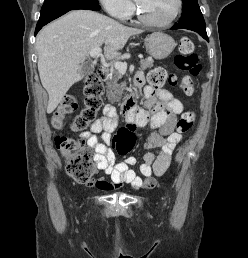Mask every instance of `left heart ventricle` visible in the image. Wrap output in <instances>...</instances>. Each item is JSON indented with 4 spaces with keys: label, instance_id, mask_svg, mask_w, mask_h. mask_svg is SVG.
I'll return each instance as SVG.
<instances>
[{
    "label": "left heart ventricle",
    "instance_id": "left-heart-ventricle-1",
    "mask_svg": "<svg viewBox=\"0 0 248 258\" xmlns=\"http://www.w3.org/2000/svg\"><path fill=\"white\" fill-rule=\"evenodd\" d=\"M144 15L156 22L167 21L175 13L177 0H136Z\"/></svg>",
    "mask_w": 248,
    "mask_h": 258
}]
</instances>
